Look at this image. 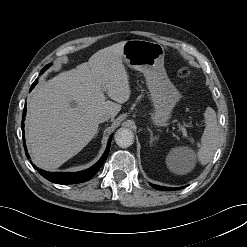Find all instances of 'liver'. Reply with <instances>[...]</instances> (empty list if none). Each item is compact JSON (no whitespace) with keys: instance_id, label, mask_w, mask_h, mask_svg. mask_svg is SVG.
Here are the masks:
<instances>
[{"instance_id":"6515ba94","label":"liver","mask_w":247,"mask_h":247,"mask_svg":"<svg viewBox=\"0 0 247 247\" xmlns=\"http://www.w3.org/2000/svg\"><path fill=\"white\" fill-rule=\"evenodd\" d=\"M125 42L97 51L88 62L35 89L25 125L27 146L38 167L54 170L75 156L97 133L98 117L109 114L113 119L129 100ZM105 92L114 102L106 100Z\"/></svg>"}]
</instances>
